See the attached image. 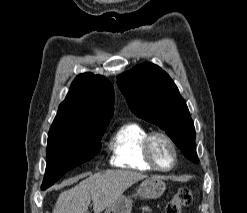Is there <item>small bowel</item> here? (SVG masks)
<instances>
[{
	"instance_id": "c3829d8e",
	"label": "small bowel",
	"mask_w": 247,
	"mask_h": 213,
	"mask_svg": "<svg viewBox=\"0 0 247 213\" xmlns=\"http://www.w3.org/2000/svg\"><path fill=\"white\" fill-rule=\"evenodd\" d=\"M141 210L143 213H155L153 209L149 206H142Z\"/></svg>"
}]
</instances>
